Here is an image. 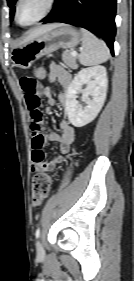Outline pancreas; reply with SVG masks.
Wrapping results in <instances>:
<instances>
[{
    "label": "pancreas",
    "mask_w": 134,
    "mask_h": 281,
    "mask_svg": "<svg viewBox=\"0 0 134 281\" xmlns=\"http://www.w3.org/2000/svg\"><path fill=\"white\" fill-rule=\"evenodd\" d=\"M62 60L68 67H70L72 69L78 68V64L76 62L77 58H76V56H72L70 51L66 50L63 52Z\"/></svg>",
    "instance_id": "pancreas-1"
}]
</instances>
